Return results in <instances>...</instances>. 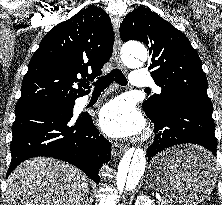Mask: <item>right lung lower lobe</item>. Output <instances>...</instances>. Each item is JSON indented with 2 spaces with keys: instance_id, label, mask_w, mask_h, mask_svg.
I'll return each mask as SVG.
<instances>
[{
  "instance_id": "right-lung-lower-lobe-1",
  "label": "right lung lower lobe",
  "mask_w": 222,
  "mask_h": 205,
  "mask_svg": "<svg viewBox=\"0 0 222 205\" xmlns=\"http://www.w3.org/2000/svg\"><path fill=\"white\" fill-rule=\"evenodd\" d=\"M73 107L49 102L16 106L7 176L24 160L48 156L68 162L100 182L98 172L110 159L111 143L99 134L89 114L74 119Z\"/></svg>"
}]
</instances>
